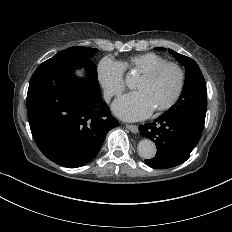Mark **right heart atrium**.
Listing matches in <instances>:
<instances>
[{
  "mask_svg": "<svg viewBox=\"0 0 232 232\" xmlns=\"http://www.w3.org/2000/svg\"><path fill=\"white\" fill-rule=\"evenodd\" d=\"M96 78L108 99L119 95L124 90L121 65L108 56L101 58L98 62Z\"/></svg>",
  "mask_w": 232,
  "mask_h": 232,
  "instance_id": "1",
  "label": "right heart atrium"
}]
</instances>
